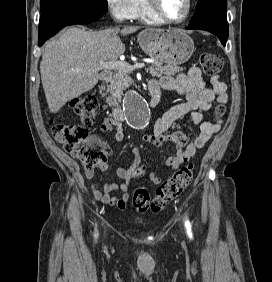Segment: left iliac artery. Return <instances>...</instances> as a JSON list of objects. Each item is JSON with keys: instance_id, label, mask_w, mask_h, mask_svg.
Returning <instances> with one entry per match:
<instances>
[{"instance_id": "1", "label": "left iliac artery", "mask_w": 272, "mask_h": 282, "mask_svg": "<svg viewBox=\"0 0 272 282\" xmlns=\"http://www.w3.org/2000/svg\"><path fill=\"white\" fill-rule=\"evenodd\" d=\"M185 227H186L188 236L192 239L193 234H192V231H191V224H190V221L187 218L185 220Z\"/></svg>"}]
</instances>
